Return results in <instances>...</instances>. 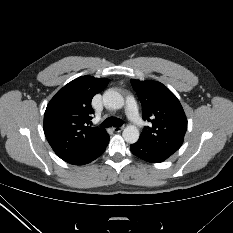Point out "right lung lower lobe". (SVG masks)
Returning a JSON list of instances; mask_svg holds the SVG:
<instances>
[{"mask_svg": "<svg viewBox=\"0 0 233 233\" xmlns=\"http://www.w3.org/2000/svg\"><path fill=\"white\" fill-rule=\"evenodd\" d=\"M109 135L107 134L106 138L104 139L103 142H101L93 151H91L89 154H87L86 156L72 162L71 164L73 165H84V164H88L91 161L95 160L96 158H98L99 156H101L107 145L109 142Z\"/></svg>", "mask_w": 233, "mask_h": 233, "instance_id": "right-lung-lower-lobe-1", "label": "right lung lower lobe"}]
</instances>
